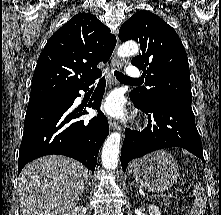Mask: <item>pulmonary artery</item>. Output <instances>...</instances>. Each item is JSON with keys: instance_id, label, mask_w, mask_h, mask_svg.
<instances>
[{"instance_id": "obj_1", "label": "pulmonary artery", "mask_w": 221, "mask_h": 215, "mask_svg": "<svg viewBox=\"0 0 221 215\" xmlns=\"http://www.w3.org/2000/svg\"><path fill=\"white\" fill-rule=\"evenodd\" d=\"M129 78L135 79L141 76V71L136 66H129L127 69Z\"/></svg>"}]
</instances>
